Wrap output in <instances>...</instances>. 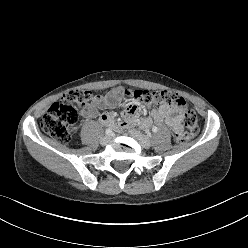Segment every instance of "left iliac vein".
<instances>
[{"label": "left iliac vein", "mask_w": 248, "mask_h": 248, "mask_svg": "<svg viewBox=\"0 0 248 248\" xmlns=\"http://www.w3.org/2000/svg\"><path fill=\"white\" fill-rule=\"evenodd\" d=\"M130 134H131L135 139L138 140V142L140 143V145H141L143 148L148 149V148L151 147L152 142H151V140H150L147 136H145V135H143V134H141L140 132L135 131V130H131V131H130Z\"/></svg>", "instance_id": "obj_1"}]
</instances>
